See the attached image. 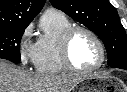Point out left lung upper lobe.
<instances>
[{
	"label": "left lung upper lobe",
	"mask_w": 127,
	"mask_h": 92,
	"mask_svg": "<svg viewBox=\"0 0 127 92\" xmlns=\"http://www.w3.org/2000/svg\"><path fill=\"white\" fill-rule=\"evenodd\" d=\"M52 5L95 32L103 41L111 67L127 63V36L108 0H50Z\"/></svg>",
	"instance_id": "1"
}]
</instances>
